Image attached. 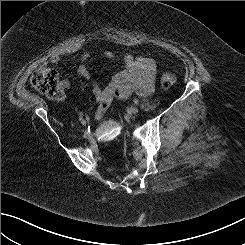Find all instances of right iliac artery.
I'll use <instances>...</instances> for the list:
<instances>
[{"label": "right iliac artery", "mask_w": 245, "mask_h": 245, "mask_svg": "<svg viewBox=\"0 0 245 245\" xmlns=\"http://www.w3.org/2000/svg\"><path fill=\"white\" fill-rule=\"evenodd\" d=\"M83 118H84V114L83 113H80L79 114V120L81 121V120H83Z\"/></svg>", "instance_id": "obj_1"}]
</instances>
